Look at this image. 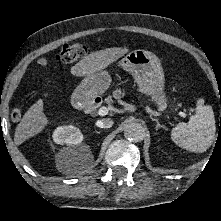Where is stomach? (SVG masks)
Segmentation results:
<instances>
[{"label":"stomach","mask_w":221,"mask_h":221,"mask_svg":"<svg viewBox=\"0 0 221 221\" xmlns=\"http://www.w3.org/2000/svg\"><path fill=\"white\" fill-rule=\"evenodd\" d=\"M120 66L133 76L139 89L151 96V100L159 109L164 110L168 107L163 68L160 59L154 53L143 49L131 51L120 61ZM110 83L109 73L103 69L98 70L85 76L73 96L88 102L103 94Z\"/></svg>","instance_id":"obj_1"}]
</instances>
